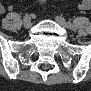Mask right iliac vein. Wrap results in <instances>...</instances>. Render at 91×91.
Returning <instances> with one entry per match:
<instances>
[{
  "mask_svg": "<svg viewBox=\"0 0 91 91\" xmlns=\"http://www.w3.org/2000/svg\"><path fill=\"white\" fill-rule=\"evenodd\" d=\"M23 26L28 29L32 26V21H31V18L28 17V18H24V21H23Z\"/></svg>",
  "mask_w": 91,
  "mask_h": 91,
  "instance_id": "63e3f726",
  "label": "right iliac vein"
}]
</instances>
